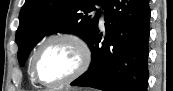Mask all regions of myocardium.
I'll list each match as a JSON object with an SVG mask.
<instances>
[{
	"instance_id": "f54148a6",
	"label": "myocardium",
	"mask_w": 173,
	"mask_h": 91,
	"mask_svg": "<svg viewBox=\"0 0 173 91\" xmlns=\"http://www.w3.org/2000/svg\"><path fill=\"white\" fill-rule=\"evenodd\" d=\"M55 41H66L72 44L78 51L79 64L77 68L66 78L57 82H44L40 79L37 72L38 59L43 49L47 45ZM91 61H92L91 47L89 43L81 35L72 32H63V33L54 34L45 39L36 49L31 63L32 77L36 82H38L43 86L50 88L61 87L76 80L81 75H83L89 68Z\"/></svg>"
}]
</instances>
